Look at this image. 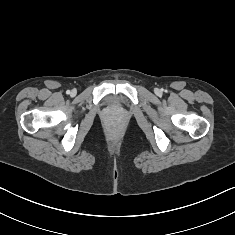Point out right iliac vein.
<instances>
[{"mask_svg":"<svg viewBox=\"0 0 235 235\" xmlns=\"http://www.w3.org/2000/svg\"><path fill=\"white\" fill-rule=\"evenodd\" d=\"M70 94H71V96H75L76 95V90H72Z\"/></svg>","mask_w":235,"mask_h":235,"instance_id":"63e3f726","label":"right iliac vein"}]
</instances>
